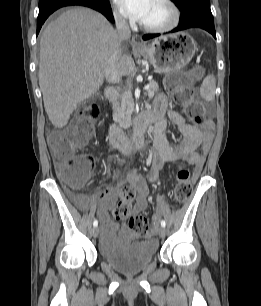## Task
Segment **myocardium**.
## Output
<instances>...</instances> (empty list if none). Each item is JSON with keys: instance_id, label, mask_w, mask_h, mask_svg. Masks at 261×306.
<instances>
[{"instance_id": "1", "label": "myocardium", "mask_w": 261, "mask_h": 306, "mask_svg": "<svg viewBox=\"0 0 261 306\" xmlns=\"http://www.w3.org/2000/svg\"><path fill=\"white\" fill-rule=\"evenodd\" d=\"M160 2L166 5L169 9L170 19L161 25H147L140 22L139 26L142 30L149 33H164L173 30L179 25L181 12L176 3L173 0H160Z\"/></svg>"}]
</instances>
